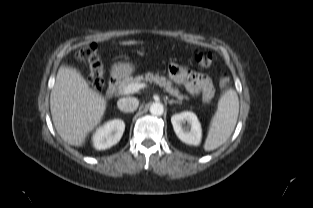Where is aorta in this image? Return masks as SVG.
<instances>
[{
    "label": "aorta",
    "instance_id": "762f6f07",
    "mask_svg": "<svg viewBox=\"0 0 313 208\" xmlns=\"http://www.w3.org/2000/svg\"><path fill=\"white\" fill-rule=\"evenodd\" d=\"M164 112L163 104L160 102H155L150 106V113L155 116H160Z\"/></svg>",
    "mask_w": 313,
    "mask_h": 208
}]
</instances>
